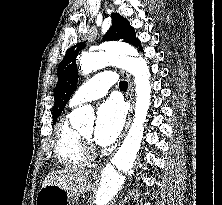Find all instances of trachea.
<instances>
[{
  "label": "trachea",
  "mask_w": 222,
  "mask_h": 205,
  "mask_svg": "<svg viewBox=\"0 0 222 205\" xmlns=\"http://www.w3.org/2000/svg\"><path fill=\"white\" fill-rule=\"evenodd\" d=\"M119 87H120V89H122V90H126L127 88H128V83L126 82V81H120V83H119Z\"/></svg>",
  "instance_id": "1"
}]
</instances>
